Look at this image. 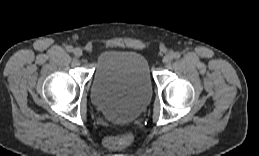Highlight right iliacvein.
Instances as JSON below:
<instances>
[{"mask_svg": "<svg viewBox=\"0 0 259 156\" xmlns=\"http://www.w3.org/2000/svg\"><path fill=\"white\" fill-rule=\"evenodd\" d=\"M73 54H74L76 57L82 56V54H83L82 49H80V48H75V49L73 50Z\"/></svg>", "mask_w": 259, "mask_h": 156, "instance_id": "1", "label": "right iliac vein"}]
</instances>
